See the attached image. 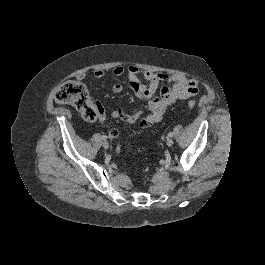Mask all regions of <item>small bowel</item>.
I'll return each mask as SVG.
<instances>
[{
	"label": "small bowel",
	"instance_id": "small-bowel-1",
	"mask_svg": "<svg viewBox=\"0 0 265 265\" xmlns=\"http://www.w3.org/2000/svg\"><path fill=\"white\" fill-rule=\"evenodd\" d=\"M113 74L116 77H121L126 74L128 79L126 85L115 83L112 86L113 93H121L125 88L132 90L144 102L145 110L129 114L123 108L118 107L111 112V117L121 119L127 123H137L141 128H147L161 121L166 109L178 100H185L198 94L197 81L180 74L165 75L153 73L148 70L141 72L134 65L127 68L116 66L113 69ZM104 76L105 71L102 69L94 72V77L97 79H102ZM77 77L82 80L85 78V74H79ZM162 81H167L171 84L162 86L160 95L155 96L159 84ZM101 110L102 114L99 120L103 122L105 120V114L102 107ZM144 122L146 125L142 126L141 124ZM109 135L111 138H116L119 132L117 129H112Z\"/></svg>",
	"mask_w": 265,
	"mask_h": 265
}]
</instances>
